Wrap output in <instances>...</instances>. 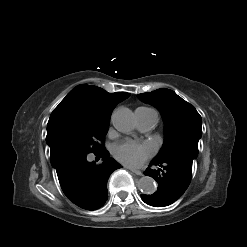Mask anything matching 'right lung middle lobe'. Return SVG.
<instances>
[{
    "label": "right lung middle lobe",
    "mask_w": 247,
    "mask_h": 247,
    "mask_svg": "<svg viewBox=\"0 0 247 247\" xmlns=\"http://www.w3.org/2000/svg\"><path fill=\"white\" fill-rule=\"evenodd\" d=\"M110 119L95 117L74 102L60 103L52 112L46 142L53 148H66L82 153L105 149L101 142L107 134Z\"/></svg>",
    "instance_id": "dd1d6c3e"
}]
</instances>
